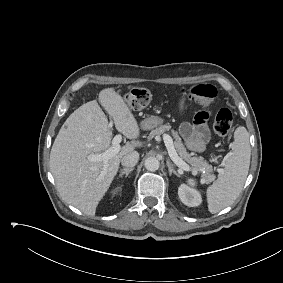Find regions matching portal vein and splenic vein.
Masks as SVG:
<instances>
[{
  "mask_svg": "<svg viewBox=\"0 0 283 283\" xmlns=\"http://www.w3.org/2000/svg\"><path fill=\"white\" fill-rule=\"evenodd\" d=\"M110 125H112L110 123ZM164 143L168 150L171 160L181 169L185 171H190V166L184 162L177 154L172 138L169 135H164ZM122 141V136L120 134L116 135L113 140V146L108 150L100 154H90L87 156V159L90 161H104L106 162L109 158L115 156L120 151V142Z\"/></svg>",
  "mask_w": 283,
  "mask_h": 283,
  "instance_id": "1",
  "label": "portal vein and splenic vein"
}]
</instances>
